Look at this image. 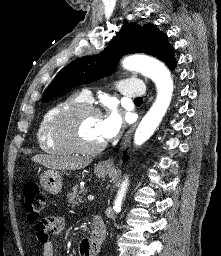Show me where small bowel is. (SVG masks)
<instances>
[{
	"mask_svg": "<svg viewBox=\"0 0 221 256\" xmlns=\"http://www.w3.org/2000/svg\"><path fill=\"white\" fill-rule=\"evenodd\" d=\"M65 220L55 216L41 221L36 227V236L43 247V256H54V246L49 238L50 234H58L63 231ZM99 245H94L89 238H84L79 244L80 256H97Z\"/></svg>",
	"mask_w": 221,
	"mask_h": 256,
	"instance_id": "c3829d8e",
	"label": "small bowel"
}]
</instances>
